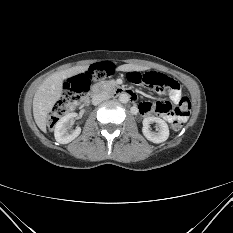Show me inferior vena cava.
Instances as JSON below:
<instances>
[{
	"mask_svg": "<svg viewBox=\"0 0 233 233\" xmlns=\"http://www.w3.org/2000/svg\"><path fill=\"white\" fill-rule=\"evenodd\" d=\"M110 98V95L107 92H101L98 94H94L92 96V103L93 105H98L102 101H105Z\"/></svg>",
	"mask_w": 233,
	"mask_h": 233,
	"instance_id": "obj_1",
	"label": "inferior vena cava"
}]
</instances>
